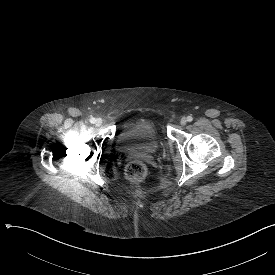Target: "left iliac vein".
I'll return each instance as SVG.
<instances>
[{
    "label": "left iliac vein",
    "instance_id": "obj_1",
    "mask_svg": "<svg viewBox=\"0 0 275 275\" xmlns=\"http://www.w3.org/2000/svg\"><path fill=\"white\" fill-rule=\"evenodd\" d=\"M180 124H181L182 126L186 125V124H187V119H186L185 117L181 118Z\"/></svg>",
    "mask_w": 275,
    "mask_h": 275
}]
</instances>
